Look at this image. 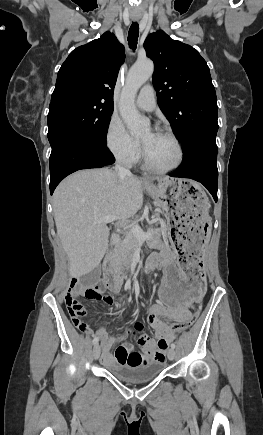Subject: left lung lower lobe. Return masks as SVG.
<instances>
[{
    "label": "left lung lower lobe",
    "instance_id": "left-lung-lower-lobe-1",
    "mask_svg": "<svg viewBox=\"0 0 263 435\" xmlns=\"http://www.w3.org/2000/svg\"><path fill=\"white\" fill-rule=\"evenodd\" d=\"M216 136H203L194 139L184 149L180 168L170 173L172 177L191 178L202 183L217 202V145Z\"/></svg>",
    "mask_w": 263,
    "mask_h": 435
}]
</instances>
